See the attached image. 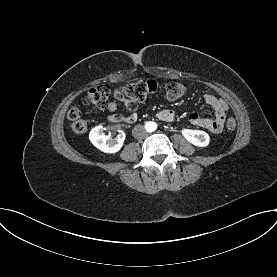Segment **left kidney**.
<instances>
[{"instance_id": "5707ae66", "label": "left kidney", "mask_w": 277, "mask_h": 277, "mask_svg": "<svg viewBox=\"0 0 277 277\" xmlns=\"http://www.w3.org/2000/svg\"><path fill=\"white\" fill-rule=\"evenodd\" d=\"M182 135L188 142L197 147H207L210 142L209 135L201 130L183 129Z\"/></svg>"}]
</instances>
